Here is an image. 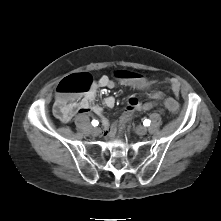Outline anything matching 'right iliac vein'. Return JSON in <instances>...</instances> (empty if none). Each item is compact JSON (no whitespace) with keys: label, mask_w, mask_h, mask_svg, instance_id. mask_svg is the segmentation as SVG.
Instances as JSON below:
<instances>
[{"label":"right iliac vein","mask_w":221,"mask_h":221,"mask_svg":"<svg viewBox=\"0 0 221 221\" xmlns=\"http://www.w3.org/2000/svg\"><path fill=\"white\" fill-rule=\"evenodd\" d=\"M91 133L92 135L94 136H98L100 133H101V129L99 127H94L92 130H91Z\"/></svg>","instance_id":"right-iliac-vein-1"}]
</instances>
